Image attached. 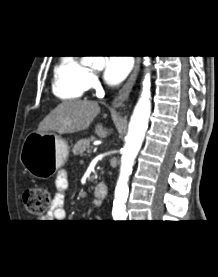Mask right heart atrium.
Wrapping results in <instances>:
<instances>
[{
	"mask_svg": "<svg viewBox=\"0 0 218 277\" xmlns=\"http://www.w3.org/2000/svg\"><path fill=\"white\" fill-rule=\"evenodd\" d=\"M98 84V77L94 72H89L88 75V86L95 87Z\"/></svg>",
	"mask_w": 218,
	"mask_h": 277,
	"instance_id": "right-heart-atrium-1",
	"label": "right heart atrium"
}]
</instances>
